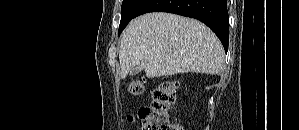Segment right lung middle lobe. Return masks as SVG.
I'll use <instances>...</instances> for the list:
<instances>
[{"label": "right lung middle lobe", "mask_w": 299, "mask_h": 130, "mask_svg": "<svg viewBox=\"0 0 299 130\" xmlns=\"http://www.w3.org/2000/svg\"><path fill=\"white\" fill-rule=\"evenodd\" d=\"M147 0H123L121 7V22L118 30V35L127 26L129 21L135 17L136 12Z\"/></svg>", "instance_id": "1"}]
</instances>
